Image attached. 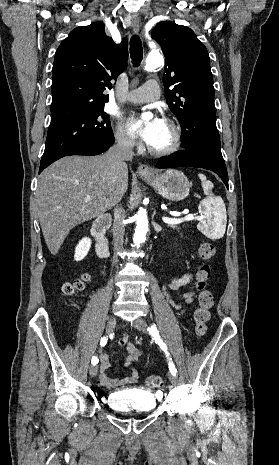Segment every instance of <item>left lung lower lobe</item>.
I'll return each mask as SVG.
<instances>
[{"instance_id": "left-lung-lower-lobe-1", "label": "left lung lower lobe", "mask_w": 279, "mask_h": 465, "mask_svg": "<svg viewBox=\"0 0 279 465\" xmlns=\"http://www.w3.org/2000/svg\"><path fill=\"white\" fill-rule=\"evenodd\" d=\"M190 166L199 167L215 172L228 188V173L225 162L218 161L214 157L194 150H181L166 157H161L156 165L157 168H170Z\"/></svg>"}]
</instances>
